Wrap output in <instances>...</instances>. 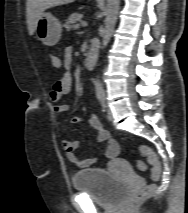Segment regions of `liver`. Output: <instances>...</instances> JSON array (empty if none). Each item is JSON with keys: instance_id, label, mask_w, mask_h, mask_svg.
<instances>
[{"instance_id": "liver-1", "label": "liver", "mask_w": 188, "mask_h": 213, "mask_svg": "<svg viewBox=\"0 0 188 213\" xmlns=\"http://www.w3.org/2000/svg\"><path fill=\"white\" fill-rule=\"evenodd\" d=\"M68 2L67 0H28L26 4V16L29 35L35 32L40 15L48 8Z\"/></svg>"}]
</instances>
